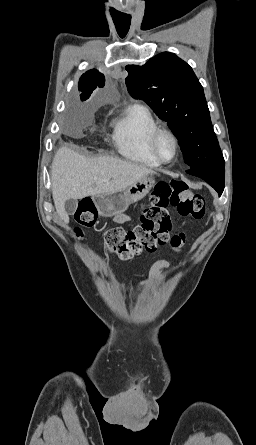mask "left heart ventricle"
<instances>
[{
	"mask_svg": "<svg viewBox=\"0 0 256 445\" xmlns=\"http://www.w3.org/2000/svg\"><path fill=\"white\" fill-rule=\"evenodd\" d=\"M158 148H159V152H160L161 156L165 160H170L173 157L175 148H174V144L169 136L163 135L160 138Z\"/></svg>",
	"mask_w": 256,
	"mask_h": 445,
	"instance_id": "b2bd125f",
	"label": "left heart ventricle"
}]
</instances>
